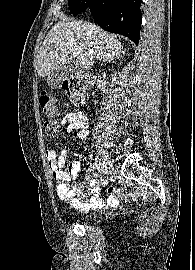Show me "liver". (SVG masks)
<instances>
[{
    "mask_svg": "<svg viewBox=\"0 0 195 270\" xmlns=\"http://www.w3.org/2000/svg\"><path fill=\"white\" fill-rule=\"evenodd\" d=\"M76 50V66L88 70L94 60H113L124 53L122 44L95 24L60 21L47 34L40 50L37 73L50 75L66 62L70 50Z\"/></svg>",
    "mask_w": 195,
    "mask_h": 270,
    "instance_id": "liver-1",
    "label": "liver"
}]
</instances>
